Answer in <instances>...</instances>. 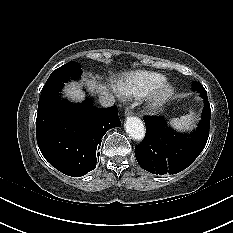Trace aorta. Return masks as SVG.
<instances>
[{
	"instance_id": "762f6f07",
	"label": "aorta",
	"mask_w": 233,
	"mask_h": 233,
	"mask_svg": "<svg viewBox=\"0 0 233 233\" xmlns=\"http://www.w3.org/2000/svg\"><path fill=\"white\" fill-rule=\"evenodd\" d=\"M125 130L127 134L136 141H141L145 136V126L138 117H128L125 122Z\"/></svg>"
}]
</instances>
